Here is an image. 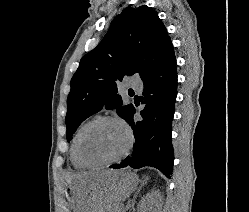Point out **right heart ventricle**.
<instances>
[{
	"label": "right heart ventricle",
	"mask_w": 249,
	"mask_h": 212,
	"mask_svg": "<svg viewBox=\"0 0 249 212\" xmlns=\"http://www.w3.org/2000/svg\"><path fill=\"white\" fill-rule=\"evenodd\" d=\"M89 121H85L83 122L76 130V132L73 135V138L71 140L70 146H69V152H68V157H69V162L71 164V166L74 169L80 170L83 169L84 166H82L79 161L77 160L76 154H75V145H76V141L77 138L80 134V132L82 131V129L86 126V124H88Z\"/></svg>",
	"instance_id": "right-heart-ventricle-1"
}]
</instances>
